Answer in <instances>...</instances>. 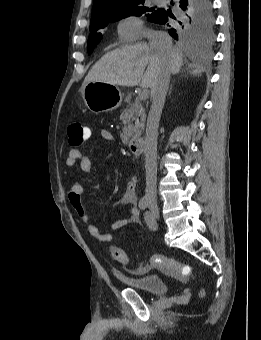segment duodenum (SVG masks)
<instances>
[{
	"instance_id": "duodenum-1",
	"label": "duodenum",
	"mask_w": 261,
	"mask_h": 340,
	"mask_svg": "<svg viewBox=\"0 0 261 340\" xmlns=\"http://www.w3.org/2000/svg\"><path fill=\"white\" fill-rule=\"evenodd\" d=\"M144 149V140L139 136H135L129 141V150L134 155H141Z\"/></svg>"
}]
</instances>
